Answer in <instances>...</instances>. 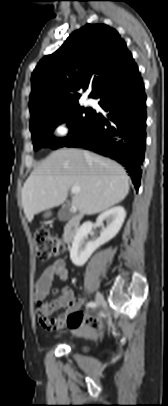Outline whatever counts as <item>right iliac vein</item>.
<instances>
[{"label":"right iliac vein","instance_id":"1","mask_svg":"<svg viewBox=\"0 0 168 406\" xmlns=\"http://www.w3.org/2000/svg\"><path fill=\"white\" fill-rule=\"evenodd\" d=\"M102 300H103L102 294L100 292H97L95 296V307L99 306Z\"/></svg>","mask_w":168,"mask_h":406}]
</instances>
